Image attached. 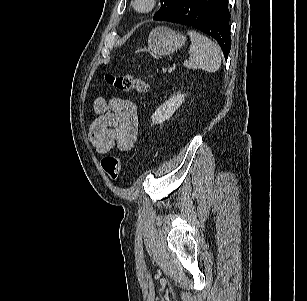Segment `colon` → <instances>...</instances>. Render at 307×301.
<instances>
[{
  "label": "colon",
  "instance_id": "5ec220e1",
  "mask_svg": "<svg viewBox=\"0 0 307 301\" xmlns=\"http://www.w3.org/2000/svg\"><path fill=\"white\" fill-rule=\"evenodd\" d=\"M106 82L114 88L122 91H135L139 94H145L148 91V84L132 74H112L105 75ZM101 165L105 172L112 178L117 179L122 168V159L116 156L104 157Z\"/></svg>",
  "mask_w": 307,
  "mask_h": 301
}]
</instances>
